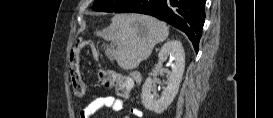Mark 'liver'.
<instances>
[{"instance_id": "6515ba94", "label": "liver", "mask_w": 273, "mask_h": 118, "mask_svg": "<svg viewBox=\"0 0 273 118\" xmlns=\"http://www.w3.org/2000/svg\"><path fill=\"white\" fill-rule=\"evenodd\" d=\"M168 35L169 27L164 22L141 14H117L109 27L97 32V36L119 45L114 59L125 70L137 68Z\"/></svg>"}]
</instances>
